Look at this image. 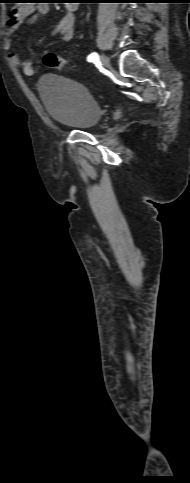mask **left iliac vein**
Here are the masks:
<instances>
[{"mask_svg": "<svg viewBox=\"0 0 190 483\" xmlns=\"http://www.w3.org/2000/svg\"><path fill=\"white\" fill-rule=\"evenodd\" d=\"M102 65L105 67V68H109L110 67V61H109V58L107 57V55L103 54L101 56V59H100Z\"/></svg>", "mask_w": 190, "mask_h": 483, "instance_id": "4c4485c4", "label": "left iliac vein"}]
</instances>
